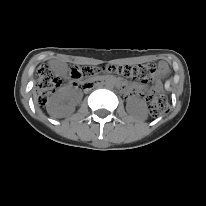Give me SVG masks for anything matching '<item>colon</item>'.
Returning a JSON list of instances; mask_svg holds the SVG:
<instances>
[{
  "instance_id": "5ec220e1",
  "label": "colon",
  "mask_w": 206,
  "mask_h": 206,
  "mask_svg": "<svg viewBox=\"0 0 206 206\" xmlns=\"http://www.w3.org/2000/svg\"><path fill=\"white\" fill-rule=\"evenodd\" d=\"M101 70L118 73L124 77L136 78L139 80H147L154 69L140 65L132 67L129 65L125 66H114L108 65L104 68H98L93 66L84 67H73L70 71V76L73 79L89 78ZM61 81L58 77L54 76L50 68L46 65H42L37 71V91H38V102L44 105L49 95L60 85ZM150 112L154 116H158L164 113L168 109V101L163 96L150 95L148 96Z\"/></svg>"
}]
</instances>
